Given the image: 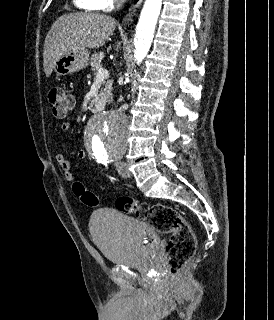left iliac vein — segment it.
Instances as JSON below:
<instances>
[{
    "mask_svg": "<svg viewBox=\"0 0 274 320\" xmlns=\"http://www.w3.org/2000/svg\"><path fill=\"white\" fill-rule=\"evenodd\" d=\"M117 170H118V173H119L122 177L128 178V177L131 176V173H130V171L128 170L127 165H126L125 162H119V163H117Z\"/></svg>",
    "mask_w": 274,
    "mask_h": 320,
    "instance_id": "1",
    "label": "left iliac vein"
}]
</instances>
